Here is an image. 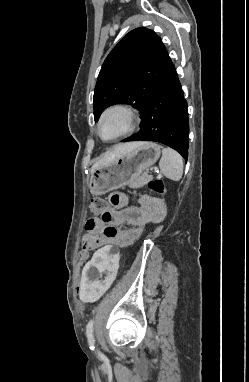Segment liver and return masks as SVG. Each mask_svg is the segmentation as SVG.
<instances>
[{
    "label": "liver",
    "mask_w": 249,
    "mask_h": 382,
    "mask_svg": "<svg viewBox=\"0 0 249 382\" xmlns=\"http://www.w3.org/2000/svg\"><path fill=\"white\" fill-rule=\"evenodd\" d=\"M141 142H133V143H124L119 144L114 147V149L110 152L105 153L97 162H95L91 168V173H93L96 169L109 165L112 163L117 157L123 155L139 145Z\"/></svg>",
    "instance_id": "1"
}]
</instances>
